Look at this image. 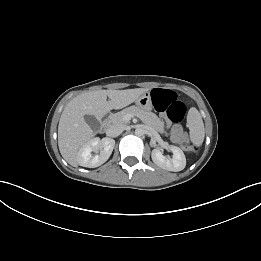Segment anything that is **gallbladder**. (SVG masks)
<instances>
[{
  "label": "gallbladder",
  "instance_id": "1",
  "mask_svg": "<svg viewBox=\"0 0 261 261\" xmlns=\"http://www.w3.org/2000/svg\"><path fill=\"white\" fill-rule=\"evenodd\" d=\"M85 121L87 122V124L94 130V131H98L100 128V123L98 121V119L93 116V115H86L85 116Z\"/></svg>",
  "mask_w": 261,
  "mask_h": 261
}]
</instances>
